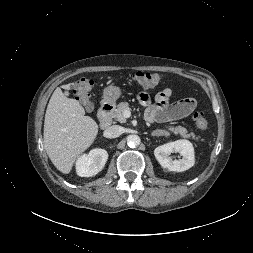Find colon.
<instances>
[{"mask_svg":"<svg viewBox=\"0 0 253 253\" xmlns=\"http://www.w3.org/2000/svg\"><path fill=\"white\" fill-rule=\"evenodd\" d=\"M130 79L142 86H152L158 84L162 80L159 73L151 71H137L130 75ZM93 80L87 77L79 79L74 85V94L78 101L84 106L87 111L92 109L91 90ZM195 126L200 130H205L208 127V119L203 112H196L193 115Z\"/></svg>","mask_w":253,"mask_h":253,"instance_id":"1","label":"colon"}]
</instances>
